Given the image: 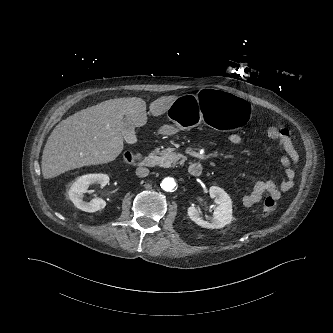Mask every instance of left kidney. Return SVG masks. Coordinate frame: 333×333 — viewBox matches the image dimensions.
<instances>
[{
	"label": "left kidney",
	"instance_id": "5707ae66",
	"mask_svg": "<svg viewBox=\"0 0 333 333\" xmlns=\"http://www.w3.org/2000/svg\"><path fill=\"white\" fill-rule=\"evenodd\" d=\"M210 197L218 204L211 221L203 220L195 206L188 208V216L197 225L208 229H220L232 221V201L229 195L218 186H211Z\"/></svg>",
	"mask_w": 333,
	"mask_h": 333
}]
</instances>
